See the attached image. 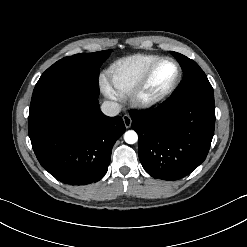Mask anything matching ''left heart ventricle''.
<instances>
[{
  "label": "left heart ventricle",
  "instance_id": "b2bd125f",
  "mask_svg": "<svg viewBox=\"0 0 247 247\" xmlns=\"http://www.w3.org/2000/svg\"><path fill=\"white\" fill-rule=\"evenodd\" d=\"M177 74L176 66L171 61L161 62L153 71L144 90L145 96H153L166 90Z\"/></svg>",
  "mask_w": 247,
  "mask_h": 247
}]
</instances>
